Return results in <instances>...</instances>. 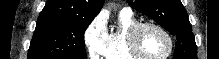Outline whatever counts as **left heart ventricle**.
<instances>
[{
    "label": "left heart ventricle",
    "instance_id": "left-heart-ventricle-1",
    "mask_svg": "<svg viewBox=\"0 0 219 59\" xmlns=\"http://www.w3.org/2000/svg\"><path fill=\"white\" fill-rule=\"evenodd\" d=\"M139 46L146 56L161 57L167 53L169 43L160 31L152 27H147L140 33Z\"/></svg>",
    "mask_w": 219,
    "mask_h": 59
}]
</instances>
